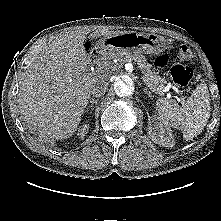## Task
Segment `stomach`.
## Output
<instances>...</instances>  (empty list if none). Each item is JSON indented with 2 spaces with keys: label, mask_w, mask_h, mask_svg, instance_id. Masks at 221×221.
<instances>
[{
  "label": "stomach",
  "mask_w": 221,
  "mask_h": 221,
  "mask_svg": "<svg viewBox=\"0 0 221 221\" xmlns=\"http://www.w3.org/2000/svg\"><path fill=\"white\" fill-rule=\"evenodd\" d=\"M167 48V41L156 34H142L134 31L114 34L101 38L96 49L100 54L107 55L111 52L130 53L139 55L141 53L157 54Z\"/></svg>",
  "instance_id": "obj_1"
}]
</instances>
